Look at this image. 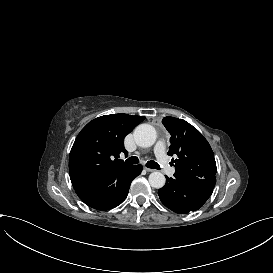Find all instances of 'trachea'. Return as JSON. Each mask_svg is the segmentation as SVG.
Listing matches in <instances>:
<instances>
[{
	"instance_id": "obj_1",
	"label": "trachea",
	"mask_w": 273,
	"mask_h": 273,
	"mask_svg": "<svg viewBox=\"0 0 273 273\" xmlns=\"http://www.w3.org/2000/svg\"><path fill=\"white\" fill-rule=\"evenodd\" d=\"M126 162L129 164H138L139 163V159L136 156H132L129 157L128 159H126ZM146 167L151 168V169H161V166L155 162V161H148L146 164Z\"/></svg>"
}]
</instances>
